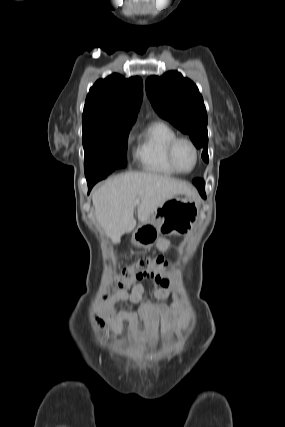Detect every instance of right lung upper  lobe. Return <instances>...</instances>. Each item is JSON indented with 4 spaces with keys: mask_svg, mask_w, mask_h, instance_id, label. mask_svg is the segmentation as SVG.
Segmentation results:
<instances>
[{
    "mask_svg": "<svg viewBox=\"0 0 285 427\" xmlns=\"http://www.w3.org/2000/svg\"><path fill=\"white\" fill-rule=\"evenodd\" d=\"M143 97V83L138 76L125 79L112 74L98 80L87 95L83 124L129 123L136 120Z\"/></svg>",
    "mask_w": 285,
    "mask_h": 427,
    "instance_id": "obj_1",
    "label": "right lung upper lobe"
}]
</instances>
